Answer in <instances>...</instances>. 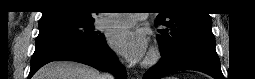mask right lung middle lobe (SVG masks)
<instances>
[{
    "instance_id": "right-lung-middle-lobe-1",
    "label": "right lung middle lobe",
    "mask_w": 255,
    "mask_h": 79,
    "mask_svg": "<svg viewBox=\"0 0 255 79\" xmlns=\"http://www.w3.org/2000/svg\"><path fill=\"white\" fill-rule=\"evenodd\" d=\"M93 21L71 16L49 18L39 21V35L36 44L49 40H64L76 43L97 41L101 35L93 31Z\"/></svg>"
}]
</instances>
